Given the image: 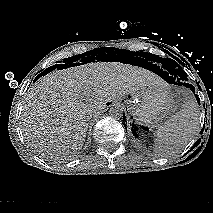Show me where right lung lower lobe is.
<instances>
[{
	"label": "right lung lower lobe",
	"mask_w": 213,
	"mask_h": 213,
	"mask_svg": "<svg viewBox=\"0 0 213 213\" xmlns=\"http://www.w3.org/2000/svg\"><path fill=\"white\" fill-rule=\"evenodd\" d=\"M64 67H68V64L65 63V64H56V65H53L49 68H47L42 74H47L49 73L50 71L54 70V69H61V68H64Z\"/></svg>",
	"instance_id": "right-lung-lower-lobe-1"
}]
</instances>
